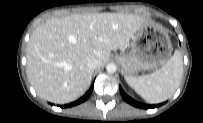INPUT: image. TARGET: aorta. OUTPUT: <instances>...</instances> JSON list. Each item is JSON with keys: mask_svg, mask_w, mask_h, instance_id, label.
<instances>
[{"mask_svg": "<svg viewBox=\"0 0 203 123\" xmlns=\"http://www.w3.org/2000/svg\"><path fill=\"white\" fill-rule=\"evenodd\" d=\"M106 70H107V72H109V73H114V72H116L117 67H116V65H115L114 63H109V64L106 66Z\"/></svg>", "mask_w": 203, "mask_h": 123, "instance_id": "762f6f07", "label": "aorta"}]
</instances>
